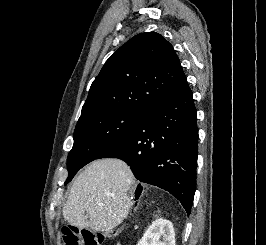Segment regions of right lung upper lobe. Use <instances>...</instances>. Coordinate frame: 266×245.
<instances>
[{"instance_id":"cb5924a9","label":"right lung upper lobe","mask_w":266,"mask_h":245,"mask_svg":"<svg viewBox=\"0 0 266 245\" xmlns=\"http://www.w3.org/2000/svg\"><path fill=\"white\" fill-rule=\"evenodd\" d=\"M187 83L172 45L156 32L121 46L93 81L81 117L104 109L146 112Z\"/></svg>"}]
</instances>
